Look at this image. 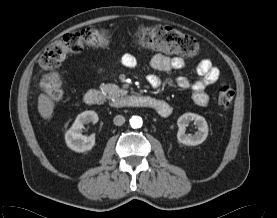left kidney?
<instances>
[{
    "instance_id": "1",
    "label": "left kidney",
    "mask_w": 277,
    "mask_h": 218,
    "mask_svg": "<svg viewBox=\"0 0 277 218\" xmlns=\"http://www.w3.org/2000/svg\"><path fill=\"white\" fill-rule=\"evenodd\" d=\"M193 121L198 131L194 134H186V127ZM178 132L177 139L180 143L187 146H196L205 141L208 136V124L204 117L194 113H184L177 120Z\"/></svg>"
}]
</instances>
